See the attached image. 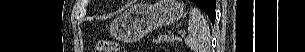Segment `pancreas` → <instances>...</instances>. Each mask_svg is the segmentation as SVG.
Returning <instances> with one entry per match:
<instances>
[{"label": "pancreas", "mask_w": 305, "mask_h": 52, "mask_svg": "<svg viewBox=\"0 0 305 52\" xmlns=\"http://www.w3.org/2000/svg\"><path fill=\"white\" fill-rule=\"evenodd\" d=\"M175 40H177L175 37L173 36H170V35H159L155 40L154 42L155 43H163V42H166V43H172L174 42Z\"/></svg>", "instance_id": "1"}]
</instances>
